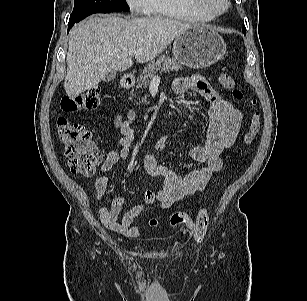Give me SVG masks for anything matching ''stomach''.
<instances>
[{
	"instance_id": "1",
	"label": "stomach",
	"mask_w": 307,
	"mask_h": 301,
	"mask_svg": "<svg viewBox=\"0 0 307 301\" xmlns=\"http://www.w3.org/2000/svg\"><path fill=\"white\" fill-rule=\"evenodd\" d=\"M224 39L209 26H193L180 33L173 43V55L179 64L205 68L226 54Z\"/></svg>"
}]
</instances>
